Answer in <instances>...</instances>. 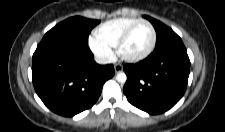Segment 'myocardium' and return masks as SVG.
Wrapping results in <instances>:
<instances>
[{
  "instance_id": "myocardium-1",
  "label": "myocardium",
  "mask_w": 225,
  "mask_h": 132,
  "mask_svg": "<svg viewBox=\"0 0 225 132\" xmlns=\"http://www.w3.org/2000/svg\"><path fill=\"white\" fill-rule=\"evenodd\" d=\"M141 23L147 24L151 29L152 37H151L150 44L145 51H143L142 53H140L138 55H134V56L127 55L124 53V50H123L124 45H125L126 41L128 40L129 36L131 35L133 29ZM155 44H156V30H155L153 24L146 19H138L125 29V31L120 36L116 47H117V52H118L119 56L123 60H125L127 62H139V61L145 59L146 57H148L152 53V51L155 47Z\"/></svg>"
}]
</instances>
